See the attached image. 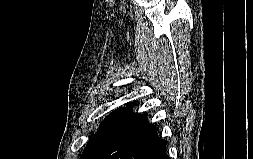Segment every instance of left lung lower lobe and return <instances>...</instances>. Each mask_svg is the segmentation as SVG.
<instances>
[{
  "instance_id": "0a47b994",
  "label": "left lung lower lobe",
  "mask_w": 253,
  "mask_h": 159,
  "mask_svg": "<svg viewBox=\"0 0 253 159\" xmlns=\"http://www.w3.org/2000/svg\"><path fill=\"white\" fill-rule=\"evenodd\" d=\"M166 144L147 117L128 106L104 127L83 159H170Z\"/></svg>"
}]
</instances>
